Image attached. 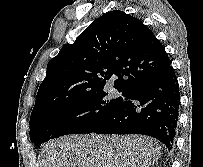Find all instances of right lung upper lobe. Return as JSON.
Wrapping results in <instances>:
<instances>
[{
    "label": "right lung upper lobe",
    "mask_w": 203,
    "mask_h": 167,
    "mask_svg": "<svg viewBox=\"0 0 203 167\" xmlns=\"http://www.w3.org/2000/svg\"><path fill=\"white\" fill-rule=\"evenodd\" d=\"M169 67L164 47L141 20L110 11L48 62L33 111L57 99L102 91L112 76H117L114 88L124 93Z\"/></svg>",
    "instance_id": "cb5924a9"
}]
</instances>
